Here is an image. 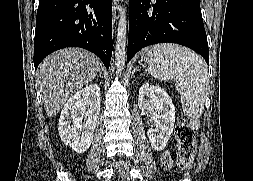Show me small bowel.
Returning <instances> with one entry per match:
<instances>
[{
    "label": "small bowel",
    "mask_w": 253,
    "mask_h": 181,
    "mask_svg": "<svg viewBox=\"0 0 253 181\" xmlns=\"http://www.w3.org/2000/svg\"><path fill=\"white\" fill-rule=\"evenodd\" d=\"M161 164L164 168H170L172 164L171 156L168 152H163L160 157Z\"/></svg>",
    "instance_id": "small-bowel-1"
}]
</instances>
